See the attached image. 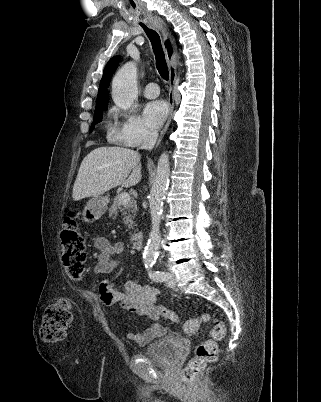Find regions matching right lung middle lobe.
Listing matches in <instances>:
<instances>
[{
  "mask_svg": "<svg viewBox=\"0 0 321 402\" xmlns=\"http://www.w3.org/2000/svg\"><path fill=\"white\" fill-rule=\"evenodd\" d=\"M107 108H108V105L103 106V107H99V108H95V112H94V125L96 124V121H97V120H99V121L102 120L103 111H104V110L106 111ZM93 129H94V126H93Z\"/></svg>",
  "mask_w": 321,
  "mask_h": 402,
  "instance_id": "dd1d6c3e",
  "label": "right lung middle lobe"
}]
</instances>
